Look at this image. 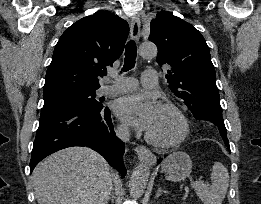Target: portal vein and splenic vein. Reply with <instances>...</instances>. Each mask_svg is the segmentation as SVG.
Segmentation results:
<instances>
[{
    "mask_svg": "<svg viewBox=\"0 0 261 204\" xmlns=\"http://www.w3.org/2000/svg\"><path fill=\"white\" fill-rule=\"evenodd\" d=\"M204 183H205V181L199 180V181L192 182L191 185H192V188H195L197 185L204 184Z\"/></svg>",
    "mask_w": 261,
    "mask_h": 204,
    "instance_id": "18ae733b",
    "label": "portal vein and splenic vein"
}]
</instances>
